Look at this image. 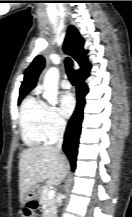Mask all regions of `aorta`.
<instances>
[{
	"mask_svg": "<svg viewBox=\"0 0 132 217\" xmlns=\"http://www.w3.org/2000/svg\"><path fill=\"white\" fill-rule=\"evenodd\" d=\"M59 70L56 67H51L47 70L44 76V92L43 97L51 105L57 104L58 95Z\"/></svg>",
	"mask_w": 132,
	"mask_h": 217,
	"instance_id": "obj_1",
	"label": "aorta"
}]
</instances>
